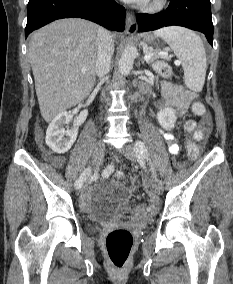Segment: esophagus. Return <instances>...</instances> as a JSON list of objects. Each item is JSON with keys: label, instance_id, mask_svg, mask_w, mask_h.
I'll use <instances>...</instances> for the list:
<instances>
[{"label": "esophagus", "instance_id": "1", "mask_svg": "<svg viewBox=\"0 0 233 284\" xmlns=\"http://www.w3.org/2000/svg\"><path fill=\"white\" fill-rule=\"evenodd\" d=\"M138 29L135 15L132 12L126 13V31L128 34H134Z\"/></svg>", "mask_w": 233, "mask_h": 284}]
</instances>
